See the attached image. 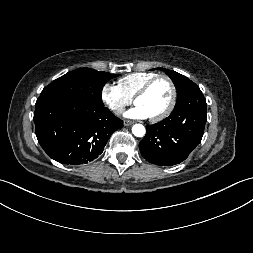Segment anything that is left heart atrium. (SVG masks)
Masks as SVG:
<instances>
[{
	"instance_id": "39dd6f15",
	"label": "left heart atrium",
	"mask_w": 253,
	"mask_h": 253,
	"mask_svg": "<svg viewBox=\"0 0 253 253\" xmlns=\"http://www.w3.org/2000/svg\"><path fill=\"white\" fill-rule=\"evenodd\" d=\"M124 116L127 118H132V119L149 118L147 112L140 105H137V104L133 108L125 112Z\"/></svg>"
}]
</instances>
